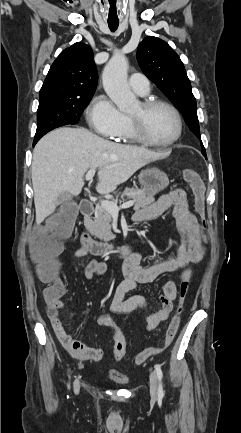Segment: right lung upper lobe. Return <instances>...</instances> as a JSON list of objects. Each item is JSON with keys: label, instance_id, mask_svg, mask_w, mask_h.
Here are the masks:
<instances>
[{"label": "right lung upper lobe", "instance_id": "cb5924a9", "mask_svg": "<svg viewBox=\"0 0 241 433\" xmlns=\"http://www.w3.org/2000/svg\"><path fill=\"white\" fill-rule=\"evenodd\" d=\"M97 79L91 47L75 43L63 50L53 62L40 89L39 100L93 97Z\"/></svg>", "mask_w": 241, "mask_h": 433}]
</instances>
